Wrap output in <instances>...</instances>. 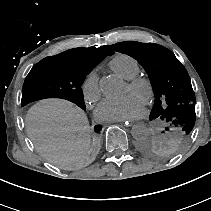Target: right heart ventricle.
<instances>
[{"mask_svg": "<svg viewBox=\"0 0 211 211\" xmlns=\"http://www.w3.org/2000/svg\"><path fill=\"white\" fill-rule=\"evenodd\" d=\"M109 66L120 77L127 80L137 76L140 72V64L137 59L124 53L115 55L110 60Z\"/></svg>", "mask_w": 211, "mask_h": 211, "instance_id": "obj_1", "label": "right heart ventricle"}]
</instances>
